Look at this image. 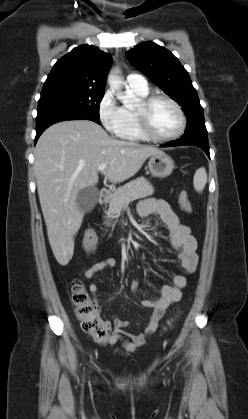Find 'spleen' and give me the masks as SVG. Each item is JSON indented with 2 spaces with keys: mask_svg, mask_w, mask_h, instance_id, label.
Returning a JSON list of instances; mask_svg holds the SVG:
<instances>
[{
  "mask_svg": "<svg viewBox=\"0 0 248 419\" xmlns=\"http://www.w3.org/2000/svg\"><path fill=\"white\" fill-rule=\"evenodd\" d=\"M207 183V173L204 167L199 168L196 170L194 174L193 185L197 192H202L205 188Z\"/></svg>",
  "mask_w": 248,
  "mask_h": 419,
  "instance_id": "obj_1",
  "label": "spleen"
}]
</instances>
